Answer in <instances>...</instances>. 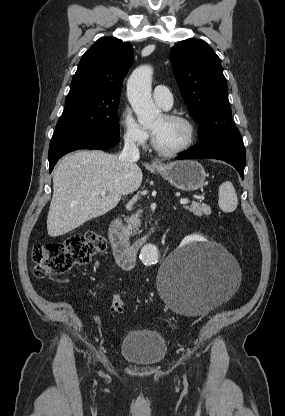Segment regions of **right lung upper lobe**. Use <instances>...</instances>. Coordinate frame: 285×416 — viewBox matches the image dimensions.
Here are the masks:
<instances>
[{
	"instance_id": "1",
	"label": "right lung upper lobe",
	"mask_w": 285,
	"mask_h": 416,
	"mask_svg": "<svg viewBox=\"0 0 285 416\" xmlns=\"http://www.w3.org/2000/svg\"><path fill=\"white\" fill-rule=\"evenodd\" d=\"M132 61L130 43L100 38L82 56L67 96L86 100L119 98Z\"/></svg>"
}]
</instances>
